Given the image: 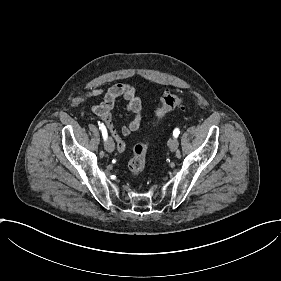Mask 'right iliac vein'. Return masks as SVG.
<instances>
[{
	"label": "right iliac vein",
	"mask_w": 281,
	"mask_h": 281,
	"mask_svg": "<svg viewBox=\"0 0 281 281\" xmlns=\"http://www.w3.org/2000/svg\"><path fill=\"white\" fill-rule=\"evenodd\" d=\"M111 138V137H110ZM114 139H109V141L105 142V149L109 154H112L115 151V143Z\"/></svg>",
	"instance_id": "1"
}]
</instances>
